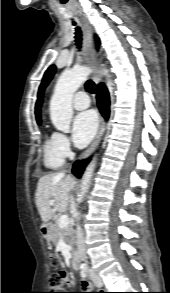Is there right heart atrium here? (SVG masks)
Returning <instances> with one entry per match:
<instances>
[{
  "label": "right heart atrium",
  "mask_w": 170,
  "mask_h": 293,
  "mask_svg": "<svg viewBox=\"0 0 170 293\" xmlns=\"http://www.w3.org/2000/svg\"><path fill=\"white\" fill-rule=\"evenodd\" d=\"M54 142L57 151L64 157H69L72 153V147L66 135L56 132L54 133Z\"/></svg>",
  "instance_id": "1"
}]
</instances>
